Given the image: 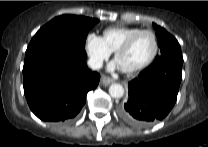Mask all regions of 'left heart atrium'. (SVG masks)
<instances>
[{"label": "left heart atrium", "mask_w": 208, "mask_h": 147, "mask_svg": "<svg viewBox=\"0 0 208 147\" xmlns=\"http://www.w3.org/2000/svg\"><path fill=\"white\" fill-rule=\"evenodd\" d=\"M116 66V64L115 63H113L112 65H111V67L113 68V67H115Z\"/></svg>", "instance_id": "obj_1"}]
</instances>
